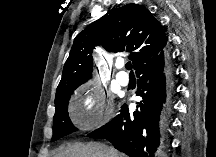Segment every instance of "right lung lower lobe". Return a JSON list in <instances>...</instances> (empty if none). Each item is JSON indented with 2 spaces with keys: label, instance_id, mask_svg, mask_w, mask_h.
Returning a JSON list of instances; mask_svg holds the SVG:
<instances>
[{
  "label": "right lung lower lobe",
  "instance_id": "1",
  "mask_svg": "<svg viewBox=\"0 0 216 157\" xmlns=\"http://www.w3.org/2000/svg\"><path fill=\"white\" fill-rule=\"evenodd\" d=\"M171 70L162 52L136 70L137 96L142 98L131 113L123 104L120 113L105 126L88 134L105 138L129 157H162L171 115Z\"/></svg>",
  "mask_w": 216,
  "mask_h": 157
}]
</instances>
